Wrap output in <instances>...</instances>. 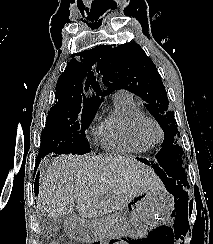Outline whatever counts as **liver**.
I'll use <instances>...</instances> for the list:
<instances>
[{
    "mask_svg": "<svg viewBox=\"0 0 213 244\" xmlns=\"http://www.w3.org/2000/svg\"><path fill=\"white\" fill-rule=\"evenodd\" d=\"M159 187L153 169L132 157L61 155L40 174L37 209L40 217L64 218L76 207L83 219L97 218Z\"/></svg>",
    "mask_w": 213,
    "mask_h": 244,
    "instance_id": "6515ba94",
    "label": "liver"
}]
</instances>
